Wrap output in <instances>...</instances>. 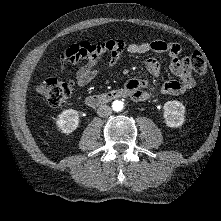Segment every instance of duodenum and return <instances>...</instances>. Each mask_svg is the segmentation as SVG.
Returning <instances> with one entry per match:
<instances>
[{
  "label": "duodenum",
  "instance_id": "obj_1",
  "mask_svg": "<svg viewBox=\"0 0 221 221\" xmlns=\"http://www.w3.org/2000/svg\"><path fill=\"white\" fill-rule=\"evenodd\" d=\"M129 96L125 89H115L103 94L89 95L86 97L85 102L91 108H96L106 104L112 100Z\"/></svg>",
  "mask_w": 221,
  "mask_h": 221
}]
</instances>
